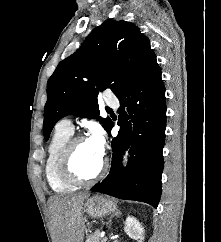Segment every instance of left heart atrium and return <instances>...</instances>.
<instances>
[{
  "mask_svg": "<svg viewBox=\"0 0 221 242\" xmlns=\"http://www.w3.org/2000/svg\"><path fill=\"white\" fill-rule=\"evenodd\" d=\"M87 141L97 154L100 156L104 155L105 136L103 130L99 126L93 127Z\"/></svg>",
  "mask_w": 221,
  "mask_h": 242,
  "instance_id": "obj_1",
  "label": "left heart atrium"
}]
</instances>
